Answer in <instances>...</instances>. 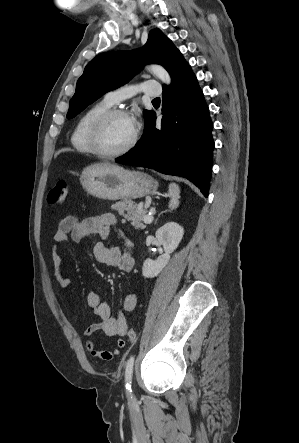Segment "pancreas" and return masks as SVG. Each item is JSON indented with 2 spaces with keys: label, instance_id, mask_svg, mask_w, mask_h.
<instances>
[{
  "label": "pancreas",
  "instance_id": "cf45deb5",
  "mask_svg": "<svg viewBox=\"0 0 299 443\" xmlns=\"http://www.w3.org/2000/svg\"><path fill=\"white\" fill-rule=\"evenodd\" d=\"M111 209L118 211L121 216L130 220L131 225L135 229L143 230L146 227L145 224H143L144 217L147 216L146 211L139 208L131 199H123L116 202L111 206Z\"/></svg>",
  "mask_w": 299,
  "mask_h": 443
}]
</instances>
